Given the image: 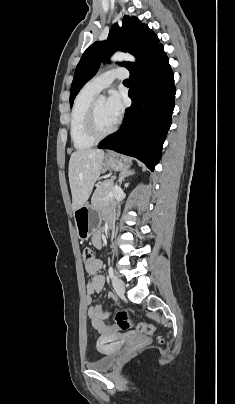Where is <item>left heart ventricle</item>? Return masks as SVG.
Returning a JSON list of instances; mask_svg holds the SVG:
<instances>
[{"label":"left heart ventricle","mask_w":235,"mask_h":404,"mask_svg":"<svg viewBox=\"0 0 235 404\" xmlns=\"http://www.w3.org/2000/svg\"><path fill=\"white\" fill-rule=\"evenodd\" d=\"M96 110V118H97V126L100 132H104L108 130L111 126H113V122L108 117L105 110V102L98 101L95 103Z\"/></svg>","instance_id":"1"}]
</instances>
